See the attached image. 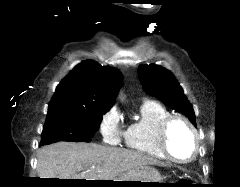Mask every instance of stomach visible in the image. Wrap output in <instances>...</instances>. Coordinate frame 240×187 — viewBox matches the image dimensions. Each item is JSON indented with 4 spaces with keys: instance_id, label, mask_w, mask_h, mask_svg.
Instances as JSON below:
<instances>
[{
    "instance_id": "1",
    "label": "stomach",
    "mask_w": 240,
    "mask_h": 187,
    "mask_svg": "<svg viewBox=\"0 0 240 187\" xmlns=\"http://www.w3.org/2000/svg\"><path fill=\"white\" fill-rule=\"evenodd\" d=\"M111 181L123 182H110L111 186L119 187H158L161 182V175L154 167L144 166L136 170L126 172L119 178ZM141 182H158V183H141Z\"/></svg>"
}]
</instances>
